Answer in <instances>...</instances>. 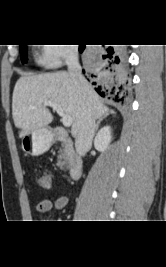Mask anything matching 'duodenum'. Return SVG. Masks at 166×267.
<instances>
[{
  "instance_id": "1",
  "label": "duodenum",
  "mask_w": 166,
  "mask_h": 267,
  "mask_svg": "<svg viewBox=\"0 0 166 267\" xmlns=\"http://www.w3.org/2000/svg\"><path fill=\"white\" fill-rule=\"evenodd\" d=\"M52 137L56 141H63L68 143L69 145H72V139L68 132L63 128H54ZM84 168L83 160L77 156L72 154L70 166H69V177L71 180H76L80 178L82 175Z\"/></svg>"
}]
</instances>
